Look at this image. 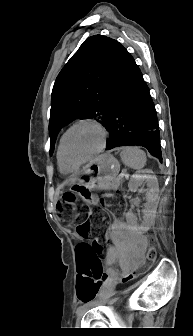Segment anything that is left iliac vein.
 Wrapping results in <instances>:
<instances>
[{
  "label": "left iliac vein",
  "instance_id": "1",
  "mask_svg": "<svg viewBox=\"0 0 193 336\" xmlns=\"http://www.w3.org/2000/svg\"><path fill=\"white\" fill-rule=\"evenodd\" d=\"M85 310L83 312H81L80 314H78V317H77V324H79L83 314H84Z\"/></svg>",
  "mask_w": 193,
  "mask_h": 336
}]
</instances>
